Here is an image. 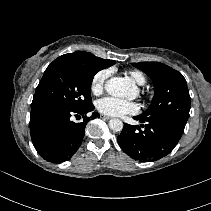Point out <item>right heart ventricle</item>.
Instances as JSON below:
<instances>
[{"label":"right heart ventricle","instance_id":"e07e8e85","mask_svg":"<svg viewBox=\"0 0 211 211\" xmlns=\"http://www.w3.org/2000/svg\"><path fill=\"white\" fill-rule=\"evenodd\" d=\"M128 74L138 85L142 86L146 83V77L141 71L132 70Z\"/></svg>","mask_w":211,"mask_h":211}]
</instances>
